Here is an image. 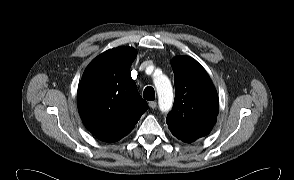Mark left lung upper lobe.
Returning <instances> with one entry per match:
<instances>
[{"instance_id":"1","label":"left lung upper lobe","mask_w":294,"mask_h":180,"mask_svg":"<svg viewBox=\"0 0 294 180\" xmlns=\"http://www.w3.org/2000/svg\"><path fill=\"white\" fill-rule=\"evenodd\" d=\"M171 65L176 95L166 123L177 138L204 137L216 123L219 110L216 89L205 69L193 58L176 57Z\"/></svg>"}]
</instances>
